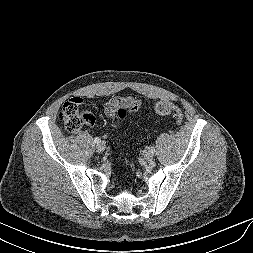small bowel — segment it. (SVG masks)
Listing matches in <instances>:
<instances>
[{"label":"small bowel","mask_w":253,"mask_h":253,"mask_svg":"<svg viewBox=\"0 0 253 253\" xmlns=\"http://www.w3.org/2000/svg\"><path fill=\"white\" fill-rule=\"evenodd\" d=\"M141 106L140 100L131 97H114L110 99L105 105L106 115L113 119L119 108H126L129 113H135Z\"/></svg>","instance_id":"1"}]
</instances>
